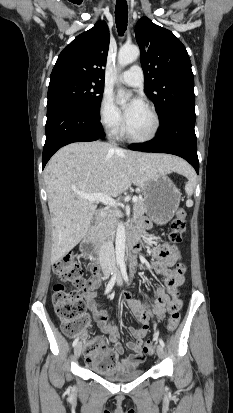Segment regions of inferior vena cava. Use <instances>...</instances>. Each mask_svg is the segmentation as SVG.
Returning <instances> with one entry per match:
<instances>
[{
	"instance_id": "602c4592",
	"label": "inferior vena cava",
	"mask_w": 233,
	"mask_h": 413,
	"mask_svg": "<svg viewBox=\"0 0 233 413\" xmlns=\"http://www.w3.org/2000/svg\"><path fill=\"white\" fill-rule=\"evenodd\" d=\"M99 216L105 218L106 213L100 211ZM99 262L103 273L107 274L114 270L115 268V254L114 247L111 241L103 242L99 251Z\"/></svg>"
}]
</instances>
